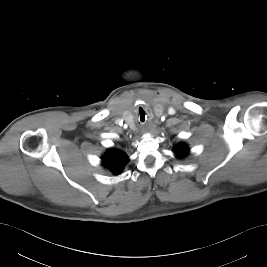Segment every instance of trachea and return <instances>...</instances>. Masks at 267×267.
<instances>
[{
  "mask_svg": "<svg viewBox=\"0 0 267 267\" xmlns=\"http://www.w3.org/2000/svg\"><path fill=\"white\" fill-rule=\"evenodd\" d=\"M138 119L141 123H144L146 121V114L145 113H139Z\"/></svg>",
  "mask_w": 267,
  "mask_h": 267,
  "instance_id": "trachea-1",
  "label": "trachea"
}]
</instances>
